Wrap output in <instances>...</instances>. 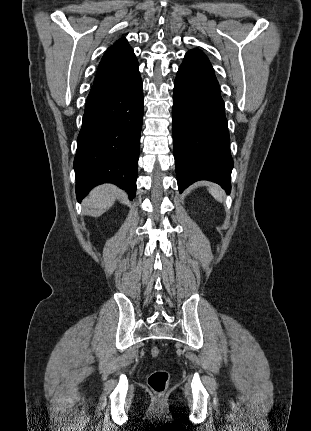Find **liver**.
<instances>
[{
  "instance_id": "obj_1",
  "label": "liver",
  "mask_w": 311,
  "mask_h": 431,
  "mask_svg": "<svg viewBox=\"0 0 311 431\" xmlns=\"http://www.w3.org/2000/svg\"><path fill=\"white\" fill-rule=\"evenodd\" d=\"M118 192L119 190L115 186H110V184L97 186L86 198L84 204L86 208H90V214L96 216L97 212H94V210H106V208L113 206Z\"/></svg>"
}]
</instances>
